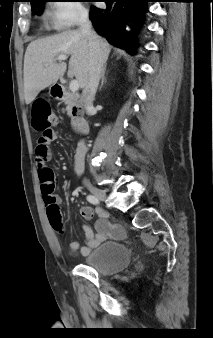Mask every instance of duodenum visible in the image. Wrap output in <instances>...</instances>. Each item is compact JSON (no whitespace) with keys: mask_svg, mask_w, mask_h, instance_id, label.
<instances>
[{"mask_svg":"<svg viewBox=\"0 0 213 338\" xmlns=\"http://www.w3.org/2000/svg\"><path fill=\"white\" fill-rule=\"evenodd\" d=\"M52 95L54 99L65 100L70 104L74 125L81 130V132L86 133L89 128V123L83 115L84 108L81 96L62 85H55L52 89Z\"/></svg>","mask_w":213,"mask_h":338,"instance_id":"1","label":"duodenum"}]
</instances>
